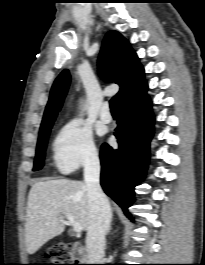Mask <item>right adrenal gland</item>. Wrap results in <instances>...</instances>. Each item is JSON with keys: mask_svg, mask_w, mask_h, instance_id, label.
<instances>
[{"mask_svg": "<svg viewBox=\"0 0 205 265\" xmlns=\"http://www.w3.org/2000/svg\"><path fill=\"white\" fill-rule=\"evenodd\" d=\"M110 229H111V226L109 227V229H108L107 233H109V232H110Z\"/></svg>", "mask_w": 205, "mask_h": 265, "instance_id": "2a0ac1e0", "label": "right adrenal gland"}]
</instances>
